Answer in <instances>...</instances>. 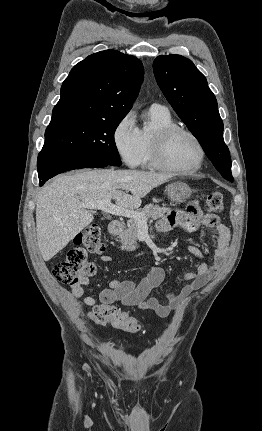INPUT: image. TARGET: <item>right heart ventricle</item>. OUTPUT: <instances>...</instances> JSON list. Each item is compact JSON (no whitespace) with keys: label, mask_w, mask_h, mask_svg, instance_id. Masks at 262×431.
<instances>
[{"label":"right heart ventricle","mask_w":262,"mask_h":431,"mask_svg":"<svg viewBox=\"0 0 262 431\" xmlns=\"http://www.w3.org/2000/svg\"><path fill=\"white\" fill-rule=\"evenodd\" d=\"M148 114L152 122V127L139 130L142 144L140 164L145 167L153 168L156 167L152 158V138L154 132L161 127L173 126L175 124L169 112L149 109Z\"/></svg>","instance_id":"obj_1"}]
</instances>
